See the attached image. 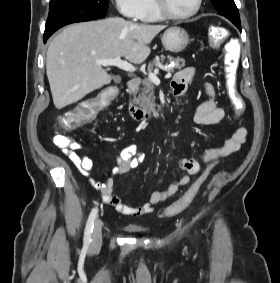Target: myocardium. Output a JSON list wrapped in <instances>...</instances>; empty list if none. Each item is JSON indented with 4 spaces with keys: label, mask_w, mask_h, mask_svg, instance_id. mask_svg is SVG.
Here are the masks:
<instances>
[{
    "label": "myocardium",
    "mask_w": 280,
    "mask_h": 283,
    "mask_svg": "<svg viewBox=\"0 0 280 283\" xmlns=\"http://www.w3.org/2000/svg\"><path fill=\"white\" fill-rule=\"evenodd\" d=\"M152 1L156 12L162 19L173 20V21L186 20L195 16L201 9L203 2V0H196L195 7L186 14H174L166 7L164 0H152Z\"/></svg>",
    "instance_id": "1"
}]
</instances>
